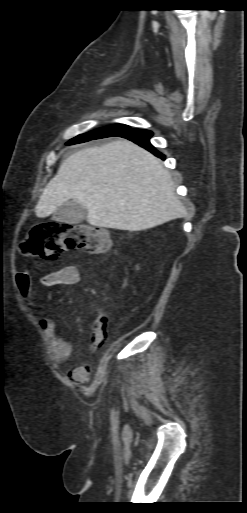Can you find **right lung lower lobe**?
<instances>
[{"label":"right lung lower lobe","mask_w":247,"mask_h":513,"mask_svg":"<svg viewBox=\"0 0 247 513\" xmlns=\"http://www.w3.org/2000/svg\"><path fill=\"white\" fill-rule=\"evenodd\" d=\"M114 136H119V137H124V138H127L131 141H133L134 143L140 145L141 147L147 149L148 151H150L151 153H153L154 155H156L157 157L161 158V159H165V156L162 155L160 152H158L150 143L149 139L150 137L152 136V132L151 131H148V130H143V129H127V130H124L118 134H115ZM69 145L70 144H76V143H79L78 141L75 142H72V141H69L68 142Z\"/></svg>","instance_id":"1"}]
</instances>
